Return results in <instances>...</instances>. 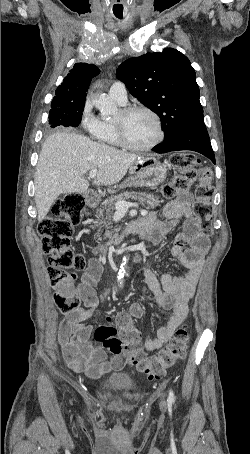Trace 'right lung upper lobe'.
Returning a JSON list of instances; mask_svg holds the SVG:
<instances>
[{
  "mask_svg": "<svg viewBox=\"0 0 250 454\" xmlns=\"http://www.w3.org/2000/svg\"><path fill=\"white\" fill-rule=\"evenodd\" d=\"M99 73V68L94 64L76 63L63 79L62 84L56 89L53 99L69 102L85 101L86 91L91 79Z\"/></svg>",
  "mask_w": 250,
  "mask_h": 454,
  "instance_id": "obj_1",
  "label": "right lung upper lobe"
}]
</instances>
